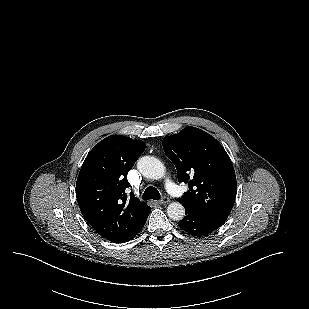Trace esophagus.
Returning a JSON list of instances; mask_svg holds the SVG:
<instances>
[{"label":"esophagus","instance_id":"1","mask_svg":"<svg viewBox=\"0 0 309 309\" xmlns=\"http://www.w3.org/2000/svg\"><path fill=\"white\" fill-rule=\"evenodd\" d=\"M159 204H167L170 202V198L167 197V196H164L162 199H160L159 201Z\"/></svg>","mask_w":309,"mask_h":309}]
</instances>
